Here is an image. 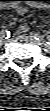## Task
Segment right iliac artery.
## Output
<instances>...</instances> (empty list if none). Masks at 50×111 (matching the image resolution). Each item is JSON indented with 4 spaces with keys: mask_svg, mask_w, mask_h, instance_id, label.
<instances>
[{
    "mask_svg": "<svg viewBox=\"0 0 50 111\" xmlns=\"http://www.w3.org/2000/svg\"><path fill=\"white\" fill-rule=\"evenodd\" d=\"M2 34H3L4 36H7L6 38L10 37V32L7 31V30H3V31H2Z\"/></svg>",
    "mask_w": 50,
    "mask_h": 111,
    "instance_id": "82829eb1",
    "label": "right iliac artery"
}]
</instances>
